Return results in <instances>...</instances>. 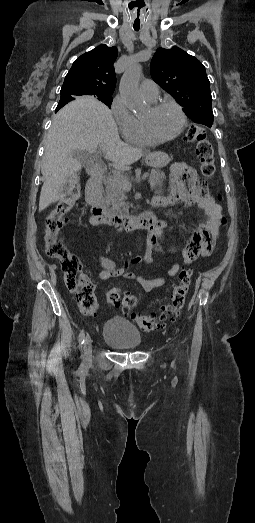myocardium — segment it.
Wrapping results in <instances>:
<instances>
[{
    "instance_id": "1",
    "label": "myocardium",
    "mask_w": 255,
    "mask_h": 523,
    "mask_svg": "<svg viewBox=\"0 0 255 523\" xmlns=\"http://www.w3.org/2000/svg\"><path fill=\"white\" fill-rule=\"evenodd\" d=\"M164 106H172L174 107L179 116H180V126L178 128V130L171 136H168V137H158L156 136L151 127H150V123L148 121V119L146 118H142V129H143V132L144 134L146 135V137L151 141V142H154V143H164V142H169V141H172L174 139H176L184 130L185 126H186V115L183 111V109L175 102L173 101H167V100H160V101H157L155 102L152 106H151V110L152 111H156Z\"/></svg>"
}]
</instances>
